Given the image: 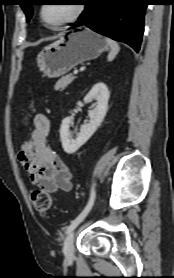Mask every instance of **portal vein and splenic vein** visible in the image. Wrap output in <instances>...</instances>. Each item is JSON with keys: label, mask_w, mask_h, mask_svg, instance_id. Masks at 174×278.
<instances>
[{"label": "portal vein and splenic vein", "mask_w": 174, "mask_h": 278, "mask_svg": "<svg viewBox=\"0 0 174 278\" xmlns=\"http://www.w3.org/2000/svg\"><path fill=\"white\" fill-rule=\"evenodd\" d=\"M79 71L77 69L74 70V74H77Z\"/></svg>", "instance_id": "obj_1"}]
</instances>
